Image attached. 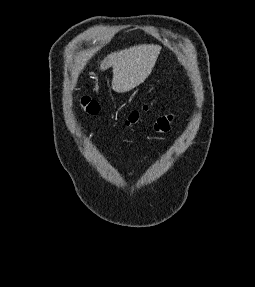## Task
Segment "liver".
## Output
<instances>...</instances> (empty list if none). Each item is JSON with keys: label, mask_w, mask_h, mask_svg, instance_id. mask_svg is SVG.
Returning a JSON list of instances; mask_svg holds the SVG:
<instances>
[{"label": "liver", "mask_w": 255, "mask_h": 287, "mask_svg": "<svg viewBox=\"0 0 255 287\" xmlns=\"http://www.w3.org/2000/svg\"><path fill=\"white\" fill-rule=\"evenodd\" d=\"M161 46L141 44L128 50L114 52L104 58L100 70L113 68L112 90L130 92L150 76L160 54Z\"/></svg>", "instance_id": "obj_1"}]
</instances>
